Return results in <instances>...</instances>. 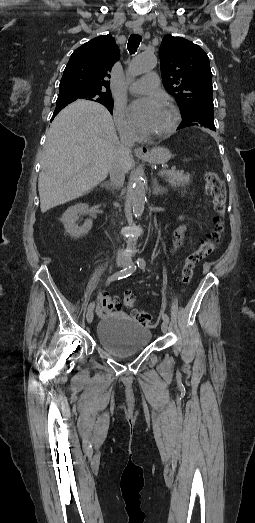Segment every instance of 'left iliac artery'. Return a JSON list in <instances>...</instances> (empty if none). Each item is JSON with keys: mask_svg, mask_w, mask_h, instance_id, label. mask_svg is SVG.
<instances>
[{"mask_svg": "<svg viewBox=\"0 0 255 523\" xmlns=\"http://www.w3.org/2000/svg\"><path fill=\"white\" fill-rule=\"evenodd\" d=\"M146 266V262L144 259H140L138 260V267H140L141 269H143L144 267ZM162 318L165 322L169 323V317L167 314L163 313L162 314Z\"/></svg>", "mask_w": 255, "mask_h": 523, "instance_id": "obj_1", "label": "left iliac artery"}]
</instances>
